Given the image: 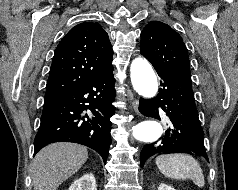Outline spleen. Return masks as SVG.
Segmentation results:
<instances>
[{
    "instance_id": "spleen-1",
    "label": "spleen",
    "mask_w": 238,
    "mask_h": 190,
    "mask_svg": "<svg viewBox=\"0 0 238 190\" xmlns=\"http://www.w3.org/2000/svg\"><path fill=\"white\" fill-rule=\"evenodd\" d=\"M159 171L171 179H191L198 187L205 184L200 164L191 155L170 154L156 158Z\"/></svg>"
}]
</instances>
